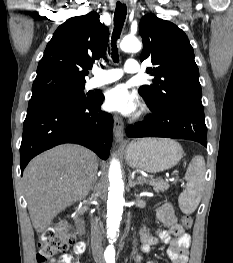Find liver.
I'll list each match as a JSON object with an SVG mask.
<instances>
[{"label":"liver","instance_id":"liver-1","mask_svg":"<svg viewBox=\"0 0 233 263\" xmlns=\"http://www.w3.org/2000/svg\"><path fill=\"white\" fill-rule=\"evenodd\" d=\"M97 169V156L75 144L57 146L28 164L23 185L37 232H44L57 214L87 196L96 180Z\"/></svg>","mask_w":233,"mask_h":263}]
</instances>
